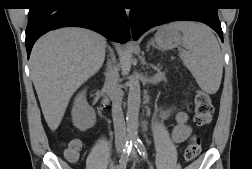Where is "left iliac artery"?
Masks as SVG:
<instances>
[{"instance_id":"44dca946","label":"left iliac artery","mask_w":252,"mask_h":169,"mask_svg":"<svg viewBox=\"0 0 252 169\" xmlns=\"http://www.w3.org/2000/svg\"><path fill=\"white\" fill-rule=\"evenodd\" d=\"M134 145L140 156H142L144 159L147 160L148 159L147 151L142 141L140 139H135Z\"/></svg>"}]
</instances>
